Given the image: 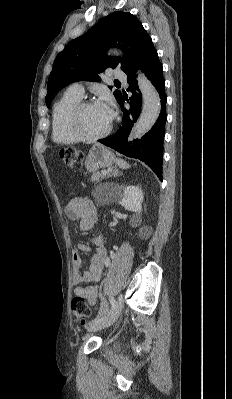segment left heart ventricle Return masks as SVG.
<instances>
[{"instance_id":"left-heart-ventricle-1","label":"left heart ventricle","mask_w":232,"mask_h":399,"mask_svg":"<svg viewBox=\"0 0 232 399\" xmlns=\"http://www.w3.org/2000/svg\"><path fill=\"white\" fill-rule=\"evenodd\" d=\"M110 125L97 105L85 108L79 117V128L88 136H97L104 133Z\"/></svg>"}]
</instances>
